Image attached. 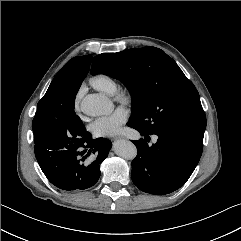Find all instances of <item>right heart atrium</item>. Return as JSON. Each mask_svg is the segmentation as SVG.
<instances>
[{
	"instance_id": "1",
	"label": "right heart atrium",
	"mask_w": 241,
	"mask_h": 241,
	"mask_svg": "<svg viewBox=\"0 0 241 241\" xmlns=\"http://www.w3.org/2000/svg\"><path fill=\"white\" fill-rule=\"evenodd\" d=\"M74 107H75V110L79 109V97L76 98Z\"/></svg>"
}]
</instances>
